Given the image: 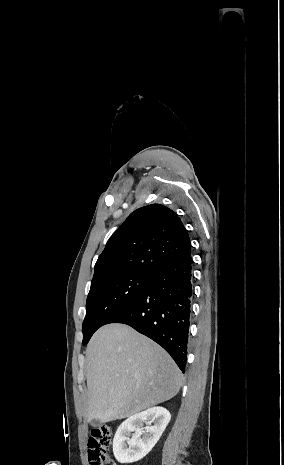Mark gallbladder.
<instances>
[{"mask_svg":"<svg viewBox=\"0 0 284 465\" xmlns=\"http://www.w3.org/2000/svg\"><path fill=\"white\" fill-rule=\"evenodd\" d=\"M90 425H92V427H100L101 423H99V421H92Z\"/></svg>","mask_w":284,"mask_h":465,"instance_id":"bac80fb5","label":"gallbladder"}]
</instances>
